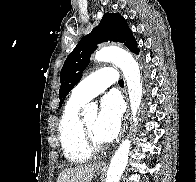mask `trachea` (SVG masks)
I'll return each mask as SVG.
<instances>
[{"mask_svg": "<svg viewBox=\"0 0 196 182\" xmlns=\"http://www.w3.org/2000/svg\"><path fill=\"white\" fill-rule=\"evenodd\" d=\"M119 85H120V86H124V81H123V79H120V80H119Z\"/></svg>", "mask_w": 196, "mask_h": 182, "instance_id": "3493384b", "label": "trachea"}]
</instances>
